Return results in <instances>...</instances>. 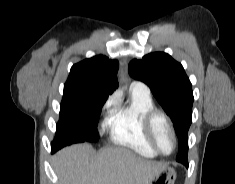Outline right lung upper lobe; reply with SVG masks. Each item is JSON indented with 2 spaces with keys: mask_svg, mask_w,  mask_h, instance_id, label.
<instances>
[{
  "mask_svg": "<svg viewBox=\"0 0 235 184\" xmlns=\"http://www.w3.org/2000/svg\"><path fill=\"white\" fill-rule=\"evenodd\" d=\"M119 63L104 55L85 59L74 64L64 85V91L90 90L91 104H104L108 96L118 88Z\"/></svg>",
  "mask_w": 235,
  "mask_h": 184,
  "instance_id": "1",
  "label": "right lung upper lobe"
}]
</instances>
